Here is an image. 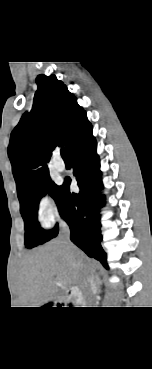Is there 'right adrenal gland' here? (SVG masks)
Returning a JSON list of instances; mask_svg holds the SVG:
<instances>
[{
	"instance_id": "right-adrenal-gland-1",
	"label": "right adrenal gland",
	"mask_w": 152,
	"mask_h": 369,
	"mask_svg": "<svg viewBox=\"0 0 152 369\" xmlns=\"http://www.w3.org/2000/svg\"><path fill=\"white\" fill-rule=\"evenodd\" d=\"M95 282L98 285V287L102 284V281H101L100 276L98 274L95 276Z\"/></svg>"
}]
</instances>
